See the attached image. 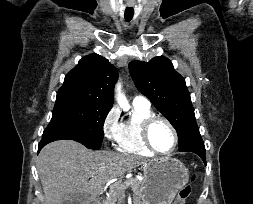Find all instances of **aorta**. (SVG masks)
Wrapping results in <instances>:
<instances>
[{"label":"aorta","instance_id":"762f6f07","mask_svg":"<svg viewBox=\"0 0 253 204\" xmlns=\"http://www.w3.org/2000/svg\"><path fill=\"white\" fill-rule=\"evenodd\" d=\"M116 98L119 106L124 110L128 111L130 109V105L128 103V100L126 99L125 95L121 92V84L118 83L116 85Z\"/></svg>","mask_w":253,"mask_h":204}]
</instances>
